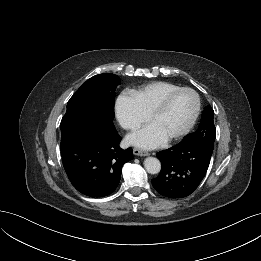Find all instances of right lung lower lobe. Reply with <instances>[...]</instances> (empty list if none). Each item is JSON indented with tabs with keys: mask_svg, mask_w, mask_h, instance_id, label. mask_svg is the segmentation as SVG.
<instances>
[{
	"mask_svg": "<svg viewBox=\"0 0 261 261\" xmlns=\"http://www.w3.org/2000/svg\"><path fill=\"white\" fill-rule=\"evenodd\" d=\"M61 133L63 166L72 185L89 197L113 193L123 165L133 159L132 148H120L113 122H88Z\"/></svg>",
	"mask_w": 261,
	"mask_h": 261,
	"instance_id": "obj_1",
	"label": "right lung lower lobe"
}]
</instances>
